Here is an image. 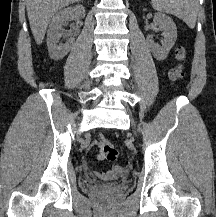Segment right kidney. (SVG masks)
Here are the masks:
<instances>
[{"label":"right kidney","instance_id":"obj_1","mask_svg":"<svg viewBox=\"0 0 216 217\" xmlns=\"http://www.w3.org/2000/svg\"><path fill=\"white\" fill-rule=\"evenodd\" d=\"M85 16V8L82 5L67 7L60 10L52 18L47 32V46L49 55L54 60H61L70 51L74 38H69L65 44H59L60 32L62 26L67 21L75 18H83Z\"/></svg>","mask_w":216,"mask_h":217}]
</instances>
